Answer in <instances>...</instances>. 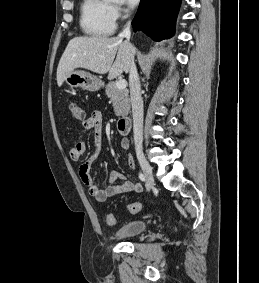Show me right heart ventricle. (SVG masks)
Instances as JSON below:
<instances>
[{"label":"right heart ventricle","instance_id":"e07e8e85","mask_svg":"<svg viewBox=\"0 0 259 283\" xmlns=\"http://www.w3.org/2000/svg\"><path fill=\"white\" fill-rule=\"evenodd\" d=\"M80 25L92 37L104 38L115 30V17L108 0H83Z\"/></svg>","mask_w":259,"mask_h":283}]
</instances>
